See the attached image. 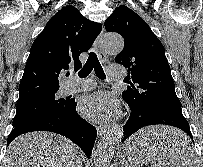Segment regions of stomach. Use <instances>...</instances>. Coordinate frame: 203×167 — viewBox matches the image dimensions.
Segmentation results:
<instances>
[{
	"instance_id": "stomach-1",
	"label": "stomach",
	"mask_w": 203,
	"mask_h": 167,
	"mask_svg": "<svg viewBox=\"0 0 203 167\" xmlns=\"http://www.w3.org/2000/svg\"><path fill=\"white\" fill-rule=\"evenodd\" d=\"M149 128L143 129L144 131H147ZM151 139V138H150ZM156 151V150H155ZM133 147L131 144L128 145L125 155L122 156L121 159V166L120 167H133ZM127 156V158H126Z\"/></svg>"
}]
</instances>
